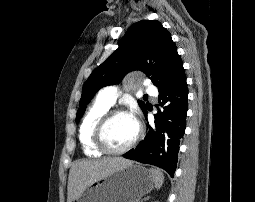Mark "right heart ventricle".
<instances>
[{
    "label": "right heart ventricle",
    "mask_w": 255,
    "mask_h": 202,
    "mask_svg": "<svg viewBox=\"0 0 255 202\" xmlns=\"http://www.w3.org/2000/svg\"><path fill=\"white\" fill-rule=\"evenodd\" d=\"M110 107V105L97 98L82 119L79 128V140L84 153L88 156L98 157L103 153L94 144L93 133L97 122Z\"/></svg>",
    "instance_id": "obj_1"
}]
</instances>
